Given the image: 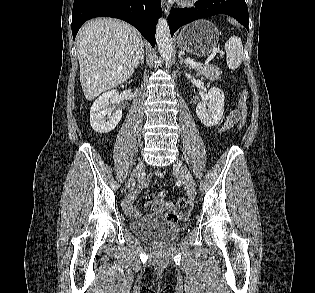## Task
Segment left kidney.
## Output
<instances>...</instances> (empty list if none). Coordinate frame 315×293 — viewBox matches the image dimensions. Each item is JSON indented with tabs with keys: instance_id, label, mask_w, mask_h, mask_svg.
Returning <instances> with one entry per match:
<instances>
[{
	"instance_id": "obj_1",
	"label": "left kidney",
	"mask_w": 315,
	"mask_h": 293,
	"mask_svg": "<svg viewBox=\"0 0 315 293\" xmlns=\"http://www.w3.org/2000/svg\"><path fill=\"white\" fill-rule=\"evenodd\" d=\"M224 99V93L219 88L213 87L208 91L206 101L197 105L196 114L205 126L213 127L221 120L224 112Z\"/></svg>"
}]
</instances>
